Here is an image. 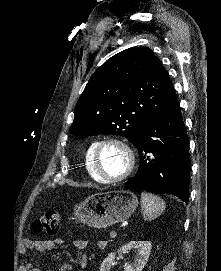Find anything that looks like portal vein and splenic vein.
Instances as JSON below:
<instances>
[{
  "instance_id": "obj_1",
  "label": "portal vein and splenic vein",
  "mask_w": 221,
  "mask_h": 271,
  "mask_svg": "<svg viewBox=\"0 0 221 271\" xmlns=\"http://www.w3.org/2000/svg\"><path fill=\"white\" fill-rule=\"evenodd\" d=\"M110 235H111L110 238L113 240L116 237L117 233L116 231H111Z\"/></svg>"
}]
</instances>
